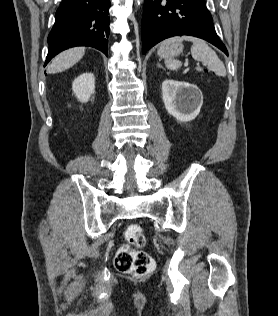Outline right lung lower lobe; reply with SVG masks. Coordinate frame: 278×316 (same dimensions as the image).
<instances>
[{"label": "right lung lower lobe", "instance_id": "right-lung-lower-lobe-1", "mask_svg": "<svg viewBox=\"0 0 278 316\" xmlns=\"http://www.w3.org/2000/svg\"><path fill=\"white\" fill-rule=\"evenodd\" d=\"M110 0H62L48 36L45 65L59 52L90 46L107 54Z\"/></svg>", "mask_w": 278, "mask_h": 316}]
</instances>
